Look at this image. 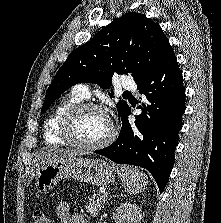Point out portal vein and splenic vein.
Masks as SVG:
<instances>
[{
    "label": "portal vein and splenic vein",
    "instance_id": "obj_1",
    "mask_svg": "<svg viewBox=\"0 0 221 223\" xmlns=\"http://www.w3.org/2000/svg\"><path fill=\"white\" fill-rule=\"evenodd\" d=\"M102 195L105 196V197H107V193L106 192H103Z\"/></svg>",
    "mask_w": 221,
    "mask_h": 223
}]
</instances>
